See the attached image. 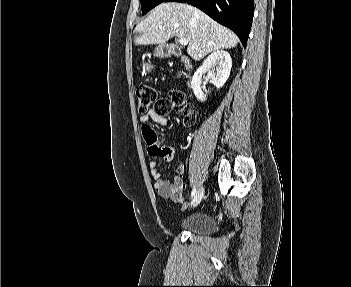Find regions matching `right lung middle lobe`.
I'll list each match as a JSON object with an SVG mask.
<instances>
[{
  "mask_svg": "<svg viewBox=\"0 0 351 287\" xmlns=\"http://www.w3.org/2000/svg\"><path fill=\"white\" fill-rule=\"evenodd\" d=\"M165 0H140L142 14H146L148 11L153 9L155 6L159 5L160 3L164 2Z\"/></svg>",
  "mask_w": 351,
  "mask_h": 287,
  "instance_id": "obj_1",
  "label": "right lung middle lobe"
}]
</instances>
